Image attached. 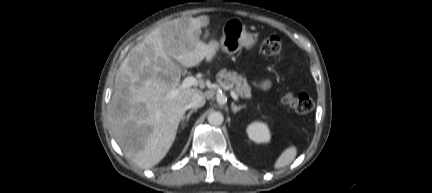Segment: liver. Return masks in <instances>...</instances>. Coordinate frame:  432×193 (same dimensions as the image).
<instances>
[{
    "instance_id": "6515ba94",
    "label": "liver",
    "mask_w": 432,
    "mask_h": 193,
    "mask_svg": "<svg viewBox=\"0 0 432 193\" xmlns=\"http://www.w3.org/2000/svg\"><path fill=\"white\" fill-rule=\"evenodd\" d=\"M208 17H182L154 29L128 53L115 78L109 106L113 135L124 153L141 168L157 165L170 150L188 104L197 88L173 98L180 68L212 61L219 44L200 40ZM209 73V72H208Z\"/></svg>"
}]
</instances>
